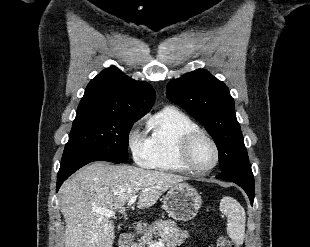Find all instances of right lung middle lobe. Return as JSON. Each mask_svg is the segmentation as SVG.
<instances>
[{"label": "right lung middle lobe", "mask_w": 310, "mask_h": 247, "mask_svg": "<svg viewBox=\"0 0 310 247\" xmlns=\"http://www.w3.org/2000/svg\"><path fill=\"white\" fill-rule=\"evenodd\" d=\"M141 117L116 113H78L61 163L80 158L128 160V134Z\"/></svg>", "instance_id": "dd1d6c3e"}]
</instances>
